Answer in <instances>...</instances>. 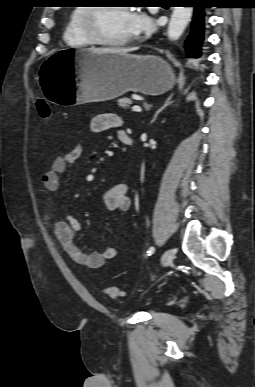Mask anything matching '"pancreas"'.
<instances>
[{"instance_id":"pancreas-1","label":"pancreas","mask_w":255,"mask_h":387,"mask_svg":"<svg viewBox=\"0 0 255 387\" xmlns=\"http://www.w3.org/2000/svg\"><path fill=\"white\" fill-rule=\"evenodd\" d=\"M131 104H132V100L129 99V98H120V99H118V105L123 107V108L129 107Z\"/></svg>"}]
</instances>
